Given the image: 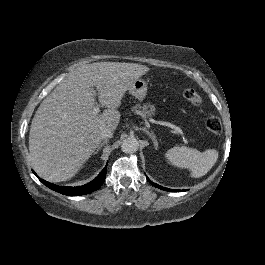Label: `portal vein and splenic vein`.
<instances>
[{
    "label": "portal vein and splenic vein",
    "instance_id": "obj_1",
    "mask_svg": "<svg viewBox=\"0 0 265 265\" xmlns=\"http://www.w3.org/2000/svg\"><path fill=\"white\" fill-rule=\"evenodd\" d=\"M98 112H99V108H97V107H95L92 110V114L94 116L98 115ZM148 121L152 122V123H155L156 125H161V126H164V127L172 128L175 131H178L180 134H182L183 137H186V133H184V129L182 127H179L178 125H175L174 123L165 122L163 120H159V119L151 118V117L148 118ZM186 141H189V138H186Z\"/></svg>",
    "mask_w": 265,
    "mask_h": 265
}]
</instances>
